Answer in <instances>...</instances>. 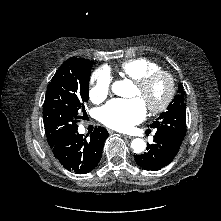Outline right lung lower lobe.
<instances>
[{
	"instance_id": "1",
	"label": "right lung lower lobe",
	"mask_w": 221,
	"mask_h": 221,
	"mask_svg": "<svg viewBox=\"0 0 221 221\" xmlns=\"http://www.w3.org/2000/svg\"><path fill=\"white\" fill-rule=\"evenodd\" d=\"M109 136L103 127H96L86 139L77 129L66 137L49 144L56 159L69 171L85 174L92 171L101 160L104 142Z\"/></svg>"
}]
</instances>
